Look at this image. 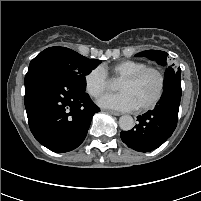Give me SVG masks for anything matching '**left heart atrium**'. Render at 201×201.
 Listing matches in <instances>:
<instances>
[{"label":"left heart atrium","instance_id":"39dd6f15","mask_svg":"<svg viewBox=\"0 0 201 201\" xmlns=\"http://www.w3.org/2000/svg\"><path fill=\"white\" fill-rule=\"evenodd\" d=\"M98 104L103 108L122 112L131 111L137 108L132 97L126 92L106 94L98 101Z\"/></svg>","mask_w":201,"mask_h":201}]
</instances>
